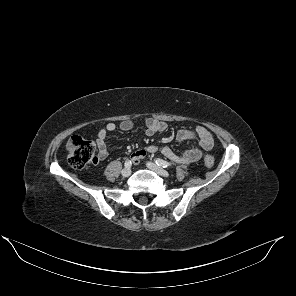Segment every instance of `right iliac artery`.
Returning <instances> with one entry per match:
<instances>
[{"instance_id": "obj_1", "label": "right iliac artery", "mask_w": 296, "mask_h": 296, "mask_svg": "<svg viewBox=\"0 0 296 296\" xmlns=\"http://www.w3.org/2000/svg\"><path fill=\"white\" fill-rule=\"evenodd\" d=\"M132 165L130 160L125 161V167H130Z\"/></svg>"}]
</instances>
